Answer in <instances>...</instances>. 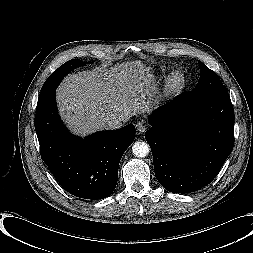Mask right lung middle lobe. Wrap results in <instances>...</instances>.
Instances as JSON below:
<instances>
[{"instance_id":"right-lung-middle-lobe-1","label":"right lung middle lobe","mask_w":253,"mask_h":253,"mask_svg":"<svg viewBox=\"0 0 253 253\" xmlns=\"http://www.w3.org/2000/svg\"><path fill=\"white\" fill-rule=\"evenodd\" d=\"M82 64L83 63L79 59H72L54 71L45 81L38 98V103L43 102L53 91H55L64 76Z\"/></svg>"}]
</instances>
